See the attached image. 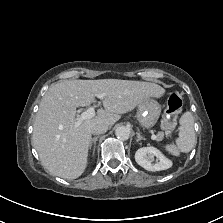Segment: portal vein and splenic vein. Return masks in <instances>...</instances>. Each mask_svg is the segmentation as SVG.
I'll return each instance as SVG.
<instances>
[{"mask_svg":"<svg viewBox=\"0 0 223 223\" xmlns=\"http://www.w3.org/2000/svg\"><path fill=\"white\" fill-rule=\"evenodd\" d=\"M97 97L99 99H101V100L104 99V95L103 94H98ZM95 107L96 106H91L86 111L82 112L80 115H77V119H76V122H75V126L78 127V126H80L83 123V121H85L87 119L93 118L95 116ZM151 132H152V137L151 138L153 140H157L158 139V136L155 135L153 133V131H151Z\"/></svg>","mask_w":223,"mask_h":223,"instance_id":"portal-vein-and-splenic-vein-1","label":"portal vein and splenic vein"}]
</instances>
